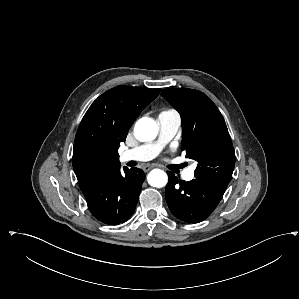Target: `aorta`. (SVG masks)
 Segmentation results:
<instances>
[{
    "instance_id": "aorta-1",
    "label": "aorta",
    "mask_w": 299,
    "mask_h": 299,
    "mask_svg": "<svg viewBox=\"0 0 299 299\" xmlns=\"http://www.w3.org/2000/svg\"><path fill=\"white\" fill-rule=\"evenodd\" d=\"M134 134L139 141H151L155 139L158 134V126L153 119L144 117L136 122ZM147 180L151 186L161 188L167 184L168 176L161 169H153L148 174Z\"/></svg>"
}]
</instances>
